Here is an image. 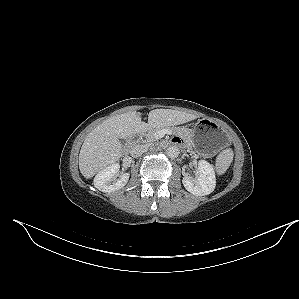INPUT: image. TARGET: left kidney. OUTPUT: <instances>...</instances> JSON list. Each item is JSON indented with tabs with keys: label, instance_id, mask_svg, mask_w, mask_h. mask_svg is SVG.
Returning a JSON list of instances; mask_svg holds the SVG:
<instances>
[{
	"label": "left kidney",
	"instance_id": "5707ae66",
	"mask_svg": "<svg viewBox=\"0 0 299 299\" xmlns=\"http://www.w3.org/2000/svg\"><path fill=\"white\" fill-rule=\"evenodd\" d=\"M199 174L193 178L186 174L182 183L187 191L196 196H205L212 193L215 189L216 178L213 166L205 160L198 162Z\"/></svg>",
	"mask_w": 299,
	"mask_h": 299
}]
</instances>
